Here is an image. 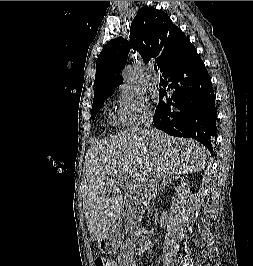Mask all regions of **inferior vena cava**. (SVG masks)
Listing matches in <instances>:
<instances>
[{"mask_svg":"<svg viewBox=\"0 0 253 266\" xmlns=\"http://www.w3.org/2000/svg\"><path fill=\"white\" fill-rule=\"evenodd\" d=\"M142 124L144 125L143 133L147 136H150L151 132V124H152V114H145L142 119ZM161 180V179H160ZM159 182V175H157L155 178L148 183L146 186V190L144 192V204L147 205L150 203L152 199L155 198L157 194V185Z\"/></svg>","mask_w":253,"mask_h":266,"instance_id":"602c4592","label":"inferior vena cava"}]
</instances>
